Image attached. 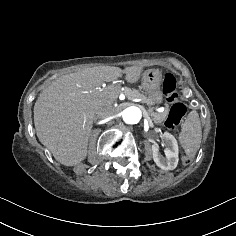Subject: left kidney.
Segmentation results:
<instances>
[{
	"label": "left kidney",
	"instance_id": "5707ae66",
	"mask_svg": "<svg viewBox=\"0 0 236 236\" xmlns=\"http://www.w3.org/2000/svg\"><path fill=\"white\" fill-rule=\"evenodd\" d=\"M162 140L165 145L164 153L166 157H163L160 153V149L156 143L151 145L154 163L162 170H174L178 164V145L175 138L169 134L164 133Z\"/></svg>",
	"mask_w": 236,
	"mask_h": 236
}]
</instances>
